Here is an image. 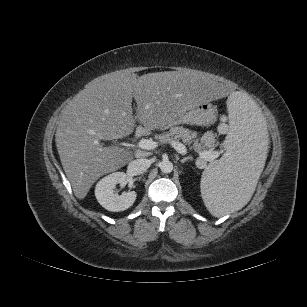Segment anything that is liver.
Returning a JSON list of instances; mask_svg holds the SVG:
<instances>
[{"instance_id": "1", "label": "liver", "mask_w": 307, "mask_h": 307, "mask_svg": "<svg viewBox=\"0 0 307 307\" xmlns=\"http://www.w3.org/2000/svg\"><path fill=\"white\" fill-rule=\"evenodd\" d=\"M230 93L228 86L190 70L140 77L113 72L94 79L62 110L55 134L74 195L84 199L96 180L132 160L130 151L104 147L102 140L130 135L136 119L146 130L163 127L194 105L204 101L215 103L228 98ZM133 98L137 103L135 118Z\"/></svg>"}]
</instances>
